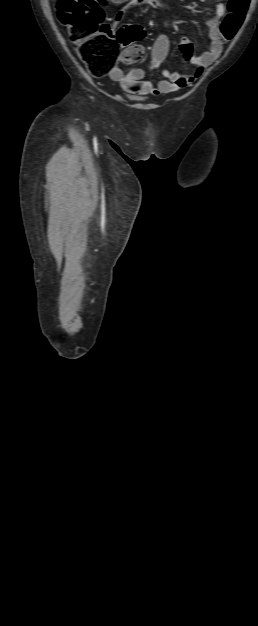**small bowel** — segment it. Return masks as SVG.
<instances>
[{
    "label": "small bowel",
    "mask_w": 258,
    "mask_h": 626,
    "mask_svg": "<svg viewBox=\"0 0 258 626\" xmlns=\"http://www.w3.org/2000/svg\"><path fill=\"white\" fill-rule=\"evenodd\" d=\"M141 5L161 7L162 3L159 0H128L114 17V25L121 23L129 10ZM225 13L226 7L220 2L216 5L215 15L208 21L211 38V45L208 51L202 54L194 53L191 41L185 35L181 36L179 50L185 61L194 66L191 74H182L177 70H163L162 75L164 79L160 80L157 85H153L151 82L144 80V69L134 68L124 73L117 64H113L108 70V76L113 81L118 82L126 92L135 95L167 94L184 88L186 85L194 82L202 74L203 70L211 65L221 54L223 45L219 38L218 26ZM108 35L114 36L115 29L109 28ZM168 51L169 39L165 34H161L153 44L148 70L157 69L166 59Z\"/></svg>",
    "instance_id": "1"
}]
</instances>
